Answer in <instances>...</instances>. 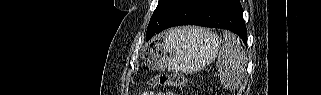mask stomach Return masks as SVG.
<instances>
[{"label": "stomach", "instance_id": "obj_1", "mask_svg": "<svg viewBox=\"0 0 321 95\" xmlns=\"http://www.w3.org/2000/svg\"><path fill=\"white\" fill-rule=\"evenodd\" d=\"M220 45L221 40L217 35L203 29H174L154 40L146 62L155 70L191 73L211 63Z\"/></svg>", "mask_w": 321, "mask_h": 95}]
</instances>
